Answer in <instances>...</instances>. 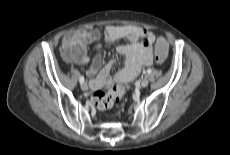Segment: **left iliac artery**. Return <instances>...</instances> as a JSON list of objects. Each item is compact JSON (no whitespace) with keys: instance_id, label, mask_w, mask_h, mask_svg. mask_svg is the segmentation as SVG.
<instances>
[{"instance_id":"left-iliac-artery-1","label":"left iliac artery","mask_w":230,"mask_h":155,"mask_svg":"<svg viewBox=\"0 0 230 155\" xmlns=\"http://www.w3.org/2000/svg\"><path fill=\"white\" fill-rule=\"evenodd\" d=\"M147 73H148V74H150V73H151V70H150V69H148V70H147Z\"/></svg>"}]
</instances>
